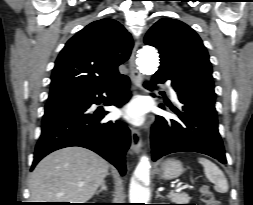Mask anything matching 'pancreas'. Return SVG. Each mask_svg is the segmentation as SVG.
Returning <instances> with one entry per match:
<instances>
[{
    "instance_id": "obj_1",
    "label": "pancreas",
    "mask_w": 253,
    "mask_h": 205,
    "mask_svg": "<svg viewBox=\"0 0 253 205\" xmlns=\"http://www.w3.org/2000/svg\"><path fill=\"white\" fill-rule=\"evenodd\" d=\"M172 202H175V204H186L190 201V197L186 193H170L167 196Z\"/></svg>"
}]
</instances>
